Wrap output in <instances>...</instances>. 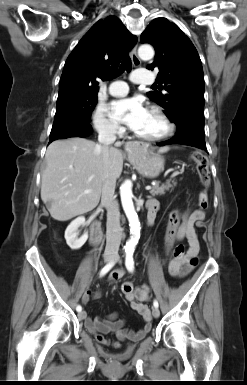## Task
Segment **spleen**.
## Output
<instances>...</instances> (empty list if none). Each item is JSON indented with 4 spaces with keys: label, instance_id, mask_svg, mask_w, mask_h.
<instances>
[{
    "label": "spleen",
    "instance_id": "1",
    "mask_svg": "<svg viewBox=\"0 0 247 385\" xmlns=\"http://www.w3.org/2000/svg\"><path fill=\"white\" fill-rule=\"evenodd\" d=\"M169 149H170L169 146H164V147H161V148L159 149V152H160V153H165V152H167Z\"/></svg>",
    "mask_w": 247,
    "mask_h": 385
}]
</instances>
